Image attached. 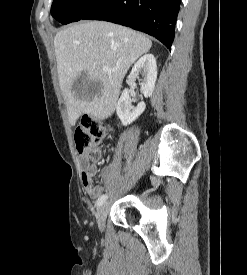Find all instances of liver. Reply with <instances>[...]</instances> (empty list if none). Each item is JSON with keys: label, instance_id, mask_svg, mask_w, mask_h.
I'll list each match as a JSON object with an SVG mask.
<instances>
[{"label": "liver", "instance_id": "liver-1", "mask_svg": "<svg viewBox=\"0 0 247 275\" xmlns=\"http://www.w3.org/2000/svg\"><path fill=\"white\" fill-rule=\"evenodd\" d=\"M151 46L143 34L105 21L80 22L59 31L54 47L69 123L74 126L82 113L96 120L110 117L128 69ZM103 66L114 71L104 72ZM82 73L89 81L99 82L93 94L73 90L74 80Z\"/></svg>", "mask_w": 247, "mask_h": 275}]
</instances>
